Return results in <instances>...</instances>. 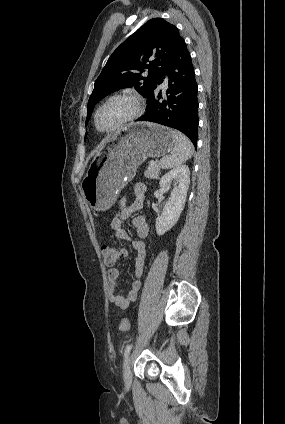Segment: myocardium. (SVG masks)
I'll return each instance as SVG.
<instances>
[{
  "label": "myocardium",
  "mask_w": 285,
  "mask_h": 424,
  "mask_svg": "<svg viewBox=\"0 0 285 424\" xmlns=\"http://www.w3.org/2000/svg\"><path fill=\"white\" fill-rule=\"evenodd\" d=\"M118 99H126L129 100L133 105V111L130 115L119 121L117 124L108 127L106 129H100L97 125V118L99 113L102 111L104 107H106L110 102ZM144 110V101L140 95L134 92H122L118 94L111 95L107 99H105L94 111L93 114V126L95 130L99 133H112L118 131L130 123L137 120L143 113Z\"/></svg>",
  "instance_id": "myocardium-1"
}]
</instances>
